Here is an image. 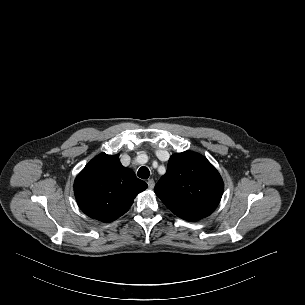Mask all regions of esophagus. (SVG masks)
<instances>
[{"mask_svg":"<svg viewBox=\"0 0 305 305\" xmlns=\"http://www.w3.org/2000/svg\"><path fill=\"white\" fill-rule=\"evenodd\" d=\"M147 184H148V187H149L150 189H153L154 186H155V181H154L153 179H149V180L147 181Z\"/></svg>","mask_w":305,"mask_h":305,"instance_id":"1","label":"esophagus"}]
</instances>
